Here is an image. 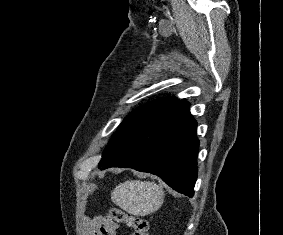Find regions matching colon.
I'll return each mask as SVG.
<instances>
[{
	"mask_svg": "<svg viewBox=\"0 0 283 235\" xmlns=\"http://www.w3.org/2000/svg\"><path fill=\"white\" fill-rule=\"evenodd\" d=\"M109 219L124 223L133 230L132 235H149V221L143 217L130 215L121 209L112 208L109 211Z\"/></svg>",
	"mask_w": 283,
	"mask_h": 235,
	"instance_id": "1",
	"label": "colon"
}]
</instances>
